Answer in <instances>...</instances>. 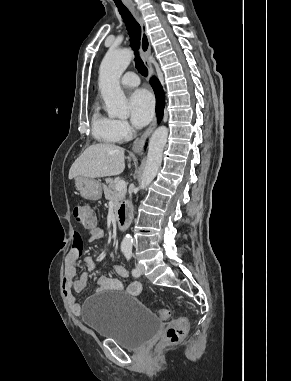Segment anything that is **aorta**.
<instances>
[{"label":"aorta","instance_id":"1","mask_svg":"<svg viewBox=\"0 0 291 381\" xmlns=\"http://www.w3.org/2000/svg\"><path fill=\"white\" fill-rule=\"evenodd\" d=\"M133 53L129 49L109 50L99 68V89L110 117L126 118L129 114L127 99L120 87V77L131 62ZM168 129L158 127L152 134L140 188L145 189L155 178L162 162L167 142ZM133 239L127 234L121 243L123 249H132Z\"/></svg>","mask_w":291,"mask_h":381}]
</instances>
